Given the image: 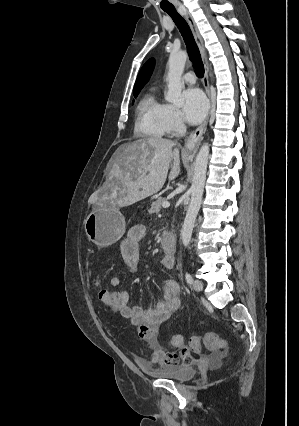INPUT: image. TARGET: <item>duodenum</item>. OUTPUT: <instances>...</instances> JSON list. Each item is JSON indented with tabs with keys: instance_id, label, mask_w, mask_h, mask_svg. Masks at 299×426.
Segmentation results:
<instances>
[{
	"instance_id": "410a0bca",
	"label": "duodenum",
	"mask_w": 299,
	"mask_h": 426,
	"mask_svg": "<svg viewBox=\"0 0 299 426\" xmlns=\"http://www.w3.org/2000/svg\"><path fill=\"white\" fill-rule=\"evenodd\" d=\"M161 244L165 255L171 259H174L176 253V240L173 233L164 232Z\"/></svg>"
}]
</instances>
